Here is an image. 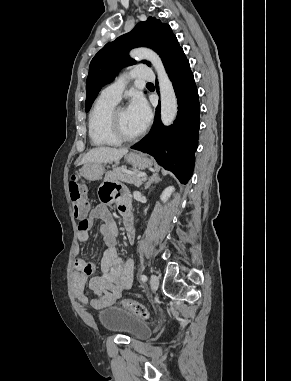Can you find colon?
I'll use <instances>...</instances> for the list:
<instances>
[{
	"label": "colon",
	"instance_id": "1",
	"mask_svg": "<svg viewBox=\"0 0 291 381\" xmlns=\"http://www.w3.org/2000/svg\"><path fill=\"white\" fill-rule=\"evenodd\" d=\"M69 193L74 215L78 218H86L90 205L85 196L84 188L76 177H72L69 182ZM85 226V224L82 225V228H85ZM122 306L139 318L149 319L151 317L148 309L143 304L134 300H124L122 301Z\"/></svg>",
	"mask_w": 291,
	"mask_h": 381
}]
</instances>
